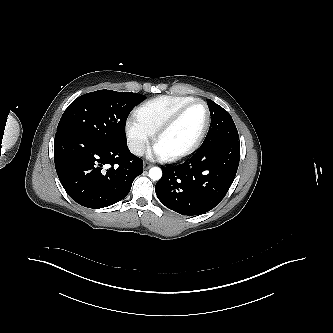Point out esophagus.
Segmentation results:
<instances>
[{"label":"esophagus","instance_id":"obj_1","mask_svg":"<svg viewBox=\"0 0 333 333\" xmlns=\"http://www.w3.org/2000/svg\"><path fill=\"white\" fill-rule=\"evenodd\" d=\"M151 167H152V165L150 163H147V162L144 163V169L148 170Z\"/></svg>","mask_w":333,"mask_h":333}]
</instances>
